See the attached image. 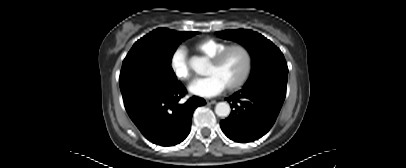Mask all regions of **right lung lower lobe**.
Here are the masks:
<instances>
[{"mask_svg":"<svg viewBox=\"0 0 406 168\" xmlns=\"http://www.w3.org/2000/svg\"><path fill=\"white\" fill-rule=\"evenodd\" d=\"M186 94L178 82L173 88L141 102L128 114L141 133L152 143L172 146L182 142L189 134L192 115L198 106L206 104L196 96L186 103L179 100Z\"/></svg>","mask_w":406,"mask_h":168,"instance_id":"right-lung-lower-lobe-1","label":"right lung lower lobe"}]
</instances>
